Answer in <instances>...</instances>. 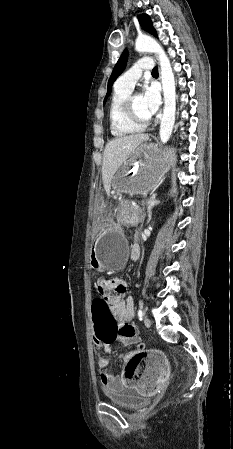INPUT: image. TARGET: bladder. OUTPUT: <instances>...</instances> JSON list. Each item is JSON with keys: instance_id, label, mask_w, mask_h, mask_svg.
<instances>
[{"instance_id": "obj_1", "label": "bladder", "mask_w": 233, "mask_h": 449, "mask_svg": "<svg viewBox=\"0 0 233 449\" xmlns=\"http://www.w3.org/2000/svg\"><path fill=\"white\" fill-rule=\"evenodd\" d=\"M104 394L110 403L126 410H134L149 403L148 398L139 396L134 389L112 387L105 389Z\"/></svg>"}]
</instances>
